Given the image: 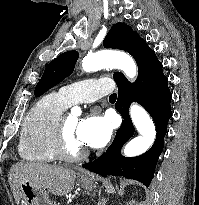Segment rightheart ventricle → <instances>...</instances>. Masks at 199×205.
Returning a JSON list of instances; mask_svg holds the SVG:
<instances>
[{
	"mask_svg": "<svg viewBox=\"0 0 199 205\" xmlns=\"http://www.w3.org/2000/svg\"><path fill=\"white\" fill-rule=\"evenodd\" d=\"M69 106L59 93L43 96L27 114L20 134L18 152L26 161L50 164L56 161L51 149L54 128Z\"/></svg>",
	"mask_w": 199,
	"mask_h": 205,
	"instance_id": "obj_1",
	"label": "right heart ventricle"
}]
</instances>
